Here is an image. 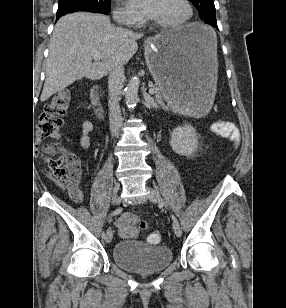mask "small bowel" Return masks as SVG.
Masks as SVG:
<instances>
[{"label":"small bowel","mask_w":286,"mask_h":308,"mask_svg":"<svg viewBox=\"0 0 286 308\" xmlns=\"http://www.w3.org/2000/svg\"><path fill=\"white\" fill-rule=\"evenodd\" d=\"M228 123V122H223ZM231 125V132L229 133V138L232 141H238L240 138V134L238 129ZM93 129L92 123L86 121L82 125V135L80 137V145L84 150H87L91 145L90 133ZM71 166L73 175L69 182L66 185L60 184V188L65 190L72 201L75 203H81L83 201V194L81 191L80 183H81V175L79 170V162L75 158H71ZM138 217L134 212H125L122 213L115 221V226L122 238H134L137 236V223Z\"/></svg>","instance_id":"small-bowel-1"}]
</instances>
